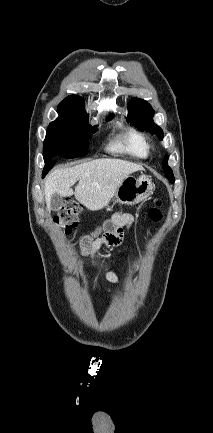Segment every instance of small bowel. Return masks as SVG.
I'll return each instance as SVG.
<instances>
[{
  "label": "small bowel",
  "mask_w": 213,
  "mask_h": 433,
  "mask_svg": "<svg viewBox=\"0 0 213 433\" xmlns=\"http://www.w3.org/2000/svg\"><path fill=\"white\" fill-rule=\"evenodd\" d=\"M134 218L129 212H116L111 220L107 221L101 228H97L87 234L82 235L77 240L79 252L90 258L93 265L96 264L95 254L102 246H118L122 243L125 236V229L133 224ZM126 250L122 247L120 252ZM104 278L110 283L117 282V276L113 272H105Z\"/></svg>",
  "instance_id": "c3829d8e"
}]
</instances>
